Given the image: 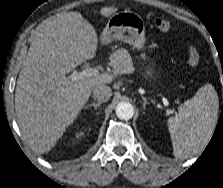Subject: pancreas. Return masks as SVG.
Segmentation results:
<instances>
[{
    "label": "pancreas",
    "instance_id": "cf45deb5",
    "mask_svg": "<svg viewBox=\"0 0 223 188\" xmlns=\"http://www.w3.org/2000/svg\"><path fill=\"white\" fill-rule=\"evenodd\" d=\"M113 56H115V57H125V58H127V59L130 60V54H129L128 51L125 50V49H119V50H117V51L113 54Z\"/></svg>",
    "mask_w": 223,
    "mask_h": 188
}]
</instances>
